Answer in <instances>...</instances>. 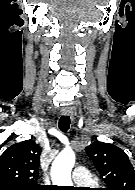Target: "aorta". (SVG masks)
<instances>
[{"mask_svg":"<svg viewBox=\"0 0 135 190\" xmlns=\"http://www.w3.org/2000/svg\"><path fill=\"white\" fill-rule=\"evenodd\" d=\"M74 164V152L71 149L63 150L52 164V182L58 186H72L71 170Z\"/></svg>","mask_w":135,"mask_h":190,"instance_id":"obj_1","label":"aorta"}]
</instances>
